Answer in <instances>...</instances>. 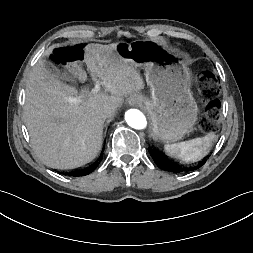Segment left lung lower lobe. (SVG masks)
I'll use <instances>...</instances> for the list:
<instances>
[{
  "label": "left lung lower lobe",
  "mask_w": 253,
  "mask_h": 253,
  "mask_svg": "<svg viewBox=\"0 0 253 253\" xmlns=\"http://www.w3.org/2000/svg\"><path fill=\"white\" fill-rule=\"evenodd\" d=\"M150 153H151V156L153 157L154 162L156 163V165L159 168H161L165 171L174 172V173L194 171V170L198 169L199 167H201L205 163V162H200L196 166H192V167L187 168L184 166H179L176 163L169 161L168 159L162 157L161 155H159L156 152L151 151Z\"/></svg>",
  "instance_id": "0a47b994"
}]
</instances>
